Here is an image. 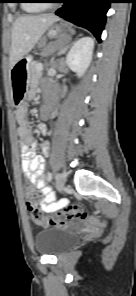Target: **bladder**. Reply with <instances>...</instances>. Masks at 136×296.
<instances>
[{
	"label": "bladder",
	"instance_id": "1",
	"mask_svg": "<svg viewBox=\"0 0 136 296\" xmlns=\"http://www.w3.org/2000/svg\"><path fill=\"white\" fill-rule=\"evenodd\" d=\"M77 233L63 227H50L35 235L36 250L45 255H59L71 248L77 241Z\"/></svg>",
	"mask_w": 136,
	"mask_h": 296
}]
</instances>
